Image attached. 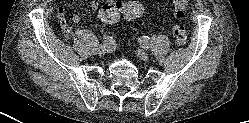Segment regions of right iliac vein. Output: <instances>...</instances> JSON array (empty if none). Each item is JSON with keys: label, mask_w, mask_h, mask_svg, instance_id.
Listing matches in <instances>:
<instances>
[{"label": "right iliac vein", "mask_w": 249, "mask_h": 123, "mask_svg": "<svg viewBox=\"0 0 249 123\" xmlns=\"http://www.w3.org/2000/svg\"><path fill=\"white\" fill-rule=\"evenodd\" d=\"M108 45H105V44H103V45H100L99 47H98V54L100 55V56H102V55H104L105 53H106V51H108Z\"/></svg>", "instance_id": "1"}]
</instances>
